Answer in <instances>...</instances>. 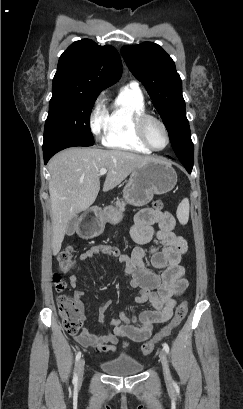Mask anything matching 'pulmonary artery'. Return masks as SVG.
<instances>
[{"mask_svg": "<svg viewBox=\"0 0 243 409\" xmlns=\"http://www.w3.org/2000/svg\"><path fill=\"white\" fill-rule=\"evenodd\" d=\"M126 86H127V87H131V88H134V89H137V90H140L139 84H138L136 81H131V82H129Z\"/></svg>", "mask_w": 243, "mask_h": 409, "instance_id": "e3ab8cb5", "label": "pulmonary artery"}]
</instances>
